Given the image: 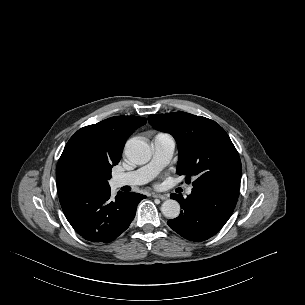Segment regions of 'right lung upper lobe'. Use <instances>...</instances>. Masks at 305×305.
Returning a JSON list of instances; mask_svg holds the SVG:
<instances>
[{"mask_svg":"<svg viewBox=\"0 0 305 305\" xmlns=\"http://www.w3.org/2000/svg\"><path fill=\"white\" fill-rule=\"evenodd\" d=\"M147 119L137 116H115L97 124L78 130L66 144L56 168L59 197L82 190L71 184L64 175L69 158L80 149H86L102 156L112 165L118 164L122 150L129 136Z\"/></svg>","mask_w":305,"mask_h":305,"instance_id":"obj_1","label":"right lung upper lobe"}]
</instances>
